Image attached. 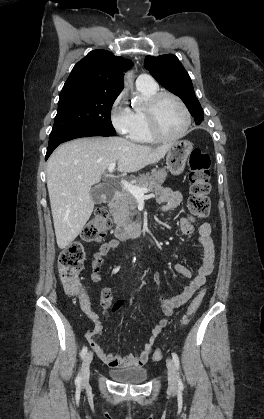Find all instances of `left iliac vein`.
<instances>
[{"label":"left iliac vein","mask_w":264,"mask_h":419,"mask_svg":"<svg viewBox=\"0 0 264 419\" xmlns=\"http://www.w3.org/2000/svg\"><path fill=\"white\" fill-rule=\"evenodd\" d=\"M167 369H168V384L171 390L177 388L178 376L175 368V364L172 359H167Z\"/></svg>","instance_id":"4c4485c4"}]
</instances>
